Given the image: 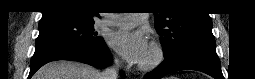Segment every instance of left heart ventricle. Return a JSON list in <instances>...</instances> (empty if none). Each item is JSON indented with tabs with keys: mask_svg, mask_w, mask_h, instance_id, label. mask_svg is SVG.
<instances>
[{
	"mask_svg": "<svg viewBox=\"0 0 255 79\" xmlns=\"http://www.w3.org/2000/svg\"><path fill=\"white\" fill-rule=\"evenodd\" d=\"M135 26H136L135 24L131 25V27H135ZM152 56H153V53L150 50H148L147 55L145 56L142 62L150 61Z\"/></svg>",
	"mask_w": 255,
	"mask_h": 79,
	"instance_id": "left-heart-ventricle-1",
	"label": "left heart ventricle"
}]
</instances>
